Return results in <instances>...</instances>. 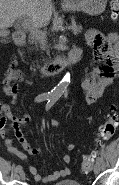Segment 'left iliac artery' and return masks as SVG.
Here are the masks:
<instances>
[{
	"instance_id": "44dca946",
	"label": "left iliac artery",
	"mask_w": 119,
	"mask_h": 185,
	"mask_svg": "<svg viewBox=\"0 0 119 185\" xmlns=\"http://www.w3.org/2000/svg\"><path fill=\"white\" fill-rule=\"evenodd\" d=\"M57 100H58V97L48 100V102L46 104V110H49L55 104V102ZM96 161L99 162V163H102V158L101 157H97Z\"/></svg>"
}]
</instances>
